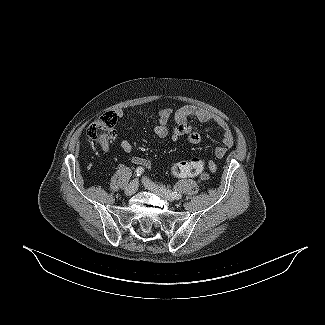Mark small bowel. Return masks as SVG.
Returning <instances> with one entry per match:
<instances>
[{
	"label": "small bowel",
	"instance_id": "small-bowel-1",
	"mask_svg": "<svg viewBox=\"0 0 325 325\" xmlns=\"http://www.w3.org/2000/svg\"><path fill=\"white\" fill-rule=\"evenodd\" d=\"M115 115L121 118L123 112L117 111ZM172 116L176 123L170 133L172 140L176 141L179 138H185L188 143L193 145L199 144L202 141V133L194 128L190 118L195 117L201 122H210L214 120V117L207 110L194 105H184L175 111L171 108H163L158 111V124L154 128V132L159 138H165L168 136L169 129L167 123ZM215 122L223 131V146L215 149V156L217 158H222L227 153L228 149L234 145V136L231 128L225 121L215 119ZM120 147L126 153H131L133 151L132 144L127 140H122L120 142ZM131 162L145 168H150V162L142 157L134 156L131 158ZM207 168L206 171L203 169V171L194 176H198L202 180H208L211 173L216 171L217 164L214 161H210Z\"/></svg>",
	"mask_w": 325,
	"mask_h": 325
}]
</instances>
